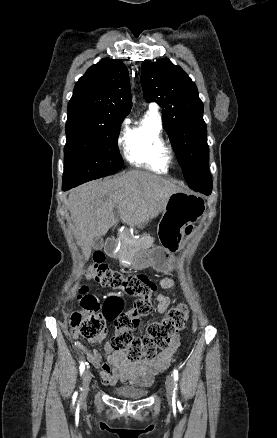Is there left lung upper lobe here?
I'll return each mask as SVG.
<instances>
[{
	"label": "left lung upper lobe",
	"instance_id": "left-lung-upper-lobe-1",
	"mask_svg": "<svg viewBox=\"0 0 277 438\" xmlns=\"http://www.w3.org/2000/svg\"><path fill=\"white\" fill-rule=\"evenodd\" d=\"M141 83L146 101H156L163 108L164 128L189 187L211 193L207 128L195 83L169 59L144 62Z\"/></svg>",
	"mask_w": 277,
	"mask_h": 438
}]
</instances>
